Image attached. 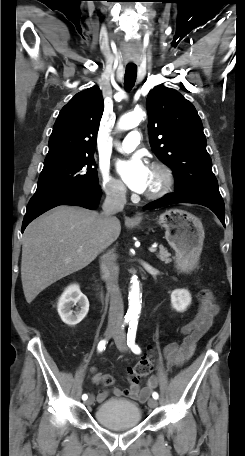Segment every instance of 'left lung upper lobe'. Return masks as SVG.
<instances>
[{
  "mask_svg": "<svg viewBox=\"0 0 245 456\" xmlns=\"http://www.w3.org/2000/svg\"><path fill=\"white\" fill-rule=\"evenodd\" d=\"M150 145L173 170L175 193L222 198L195 107L174 89L156 86L146 100Z\"/></svg>",
  "mask_w": 245,
  "mask_h": 456,
  "instance_id": "obj_1",
  "label": "left lung upper lobe"
}]
</instances>
